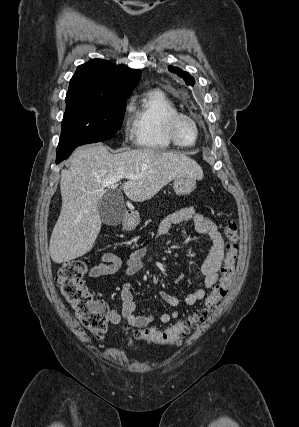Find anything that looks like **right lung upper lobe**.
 I'll use <instances>...</instances> for the list:
<instances>
[{
    "label": "right lung upper lobe",
    "instance_id": "1",
    "mask_svg": "<svg viewBox=\"0 0 299 427\" xmlns=\"http://www.w3.org/2000/svg\"><path fill=\"white\" fill-rule=\"evenodd\" d=\"M141 71L109 61L93 59L78 66L70 80L65 100L80 97L116 98L129 96L138 83Z\"/></svg>",
    "mask_w": 299,
    "mask_h": 427
}]
</instances>
